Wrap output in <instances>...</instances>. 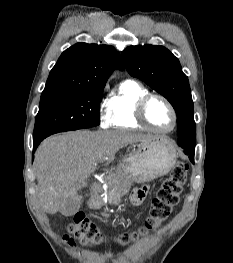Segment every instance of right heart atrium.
<instances>
[{
    "mask_svg": "<svg viewBox=\"0 0 233 263\" xmlns=\"http://www.w3.org/2000/svg\"><path fill=\"white\" fill-rule=\"evenodd\" d=\"M99 120L101 128L107 129L110 127V113L108 106H101L99 108Z\"/></svg>",
    "mask_w": 233,
    "mask_h": 263,
    "instance_id": "right-heart-atrium-1",
    "label": "right heart atrium"
}]
</instances>
